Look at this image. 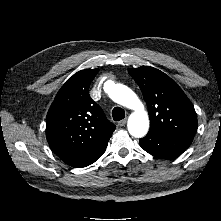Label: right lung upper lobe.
I'll return each instance as SVG.
<instances>
[{
  "label": "right lung upper lobe",
  "instance_id": "right-lung-upper-lobe-1",
  "mask_svg": "<svg viewBox=\"0 0 221 221\" xmlns=\"http://www.w3.org/2000/svg\"><path fill=\"white\" fill-rule=\"evenodd\" d=\"M99 69L74 74L57 93L46 118L47 141L63 162L85 167L104 152L115 130L101 107L89 95Z\"/></svg>",
  "mask_w": 221,
  "mask_h": 221
}]
</instances>
